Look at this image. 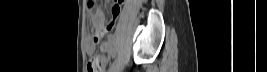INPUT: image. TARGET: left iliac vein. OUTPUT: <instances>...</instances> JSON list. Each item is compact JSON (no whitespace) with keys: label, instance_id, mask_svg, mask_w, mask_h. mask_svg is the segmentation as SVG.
Returning a JSON list of instances; mask_svg holds the SVG:
<instances>
[{"label":"left iliac vein","instance_id":"1","mask_svg":"<svg viewBox=\"0 0 267 72\" xmlns=\"http://www.w3.org/2000/svg\"><path fill=\"white\" fill-rule=\"evenodd\" d=\"M109 72H116V68L110 69Z\"/></svg>","mask_w":267,"mask_h":72}]
</instances>
